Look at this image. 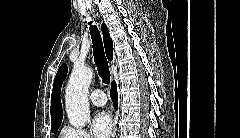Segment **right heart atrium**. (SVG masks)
Segmentation results:
<instances>
[{"label":"right heart atrium","mask_w":240,"mask_h":138,"mask_svg":"<svg viewBox=\"0 0 240 138\" xmlns=\"http://www.w3.org/2000/svg\"><path fill=\"white\" fill-rule=\"evenodd\" d=\"M63 138H91L90 134L83 128L65 126L62 130Z\"/></svg>","instance_id":"d8ad5b80"}]
</instances>
